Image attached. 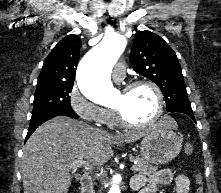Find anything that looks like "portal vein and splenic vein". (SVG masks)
Masks as SVG:
<instances>
[{"label": "portal vein and splenic vein", "instance_id": "portal-vein-and-splenic-vein-1", "mask_svg": "<svg viewBox=\"0 0 221 193\" xmlns=\"http://www.w3.org/2000/svg\"><path fill=\"white\" fill-rule=\"evenodd\" d=\"M80 166H89V164L86 162V161H83V160H77V161H74L70 166L69 168L70 169H75V168H78ZM131 171H135L136 170V165H132L131 166Z\"/></svg>", "mask_w": 221, "mask_h": 193}]
</instances>
